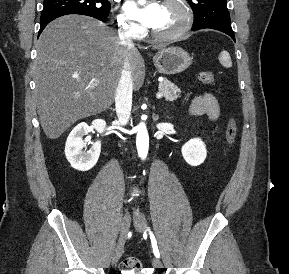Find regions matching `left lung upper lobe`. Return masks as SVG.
I'll list each match as a JSON object with an SVG mask.
<instances>
[{"label":"left lung upper lobe","mask_w":289,"mask_h":274,"mask_svg":"<svg viewBox=\"0 0 289 274\" xmlns=\"http://www.w3.org/2000/svg\"><path fill=\"white\" fill-rule=\"evenodd\" d=\"M194 12L192 29L205 27L231 28L226 0H187Z\"/></svg>","instance_id":"left-lung-upper-lobe-1"}]
</instances>
